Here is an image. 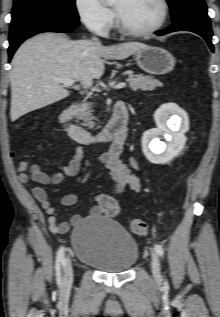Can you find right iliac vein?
<instances>
[{"instance_id": "right-iliac-vein-1", "label": "right iliac vein", "mask_w": 220, "mask_h": 317, "mask_svg": "<svg viewBox=\"0 0 220 317\" xmlns=\"http://www.w3.org/2000/svg\"><path fill=\"white\" fill-rule=\"evenodd\" d=\"M73 282V268L70 258H66L63 276V289L69 290Z\"/></svg>"}]
</instances>
